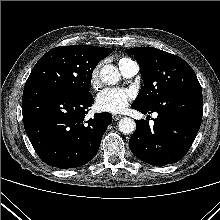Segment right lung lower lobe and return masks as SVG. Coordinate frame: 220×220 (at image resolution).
Segmentation results:
<instances>
[{"instance_id":"98d812e1","label":"right lung lower lobe","mask_w":220,"mask_h":220,"mask_svg":"<svg viewBox=\"0 0 220 220\" xmlns=\"http://www.w3.org/2000/svg\"><path fill=\"white\" fill-rule=\"evenodd\" d=\"M93 101L91 93L76 95L49 87L24 88V128L43 162L68 169L95 157L112 115L95 114L85 120Z\"/></svg>"}]
</instances>
